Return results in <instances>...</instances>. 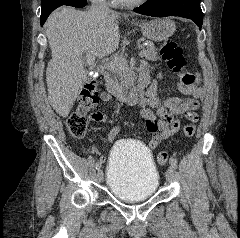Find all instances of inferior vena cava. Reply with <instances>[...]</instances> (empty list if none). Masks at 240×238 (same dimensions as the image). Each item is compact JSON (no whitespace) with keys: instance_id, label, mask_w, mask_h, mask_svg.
<instances>
[{"instance_id":"1","label":"inferior vena cava","mask_w":240,"mask_h":238,"mask_svg":"<svg viewBox=\"0 0 240 238\" xmlns=\"http://www.w3.org/2000/svg\"><path fill=\"white\" fill-rule=\"evenodd\" d=\"M110 12L106 0H91L90 13L92 14H105Z\"/></svg>"}]
</instances>
